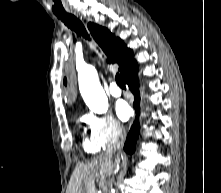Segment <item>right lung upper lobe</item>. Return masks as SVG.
I'll list each match as a JSON object with an SVG mask.
<instances>
[{
	"mask_svg": "<svg viewBox=\"0 0 221 193\" xmlns=\"http://www.w3.org/2000/svg\"><path fill=\"white\" fill-rule=\"evenodd\" d=\"M88 29L107 55L108 62L118 63L122 78L135 68L137 63L133 59L132 51L124 45L121 39L115 38L108 29L94 23H89Z\"/></svg>",
	"mask_w": 221,
	"mask_h": 193,
	"instance_id": "obj_1",
	"label": "right lung upper lobe"
}]
</instances>
